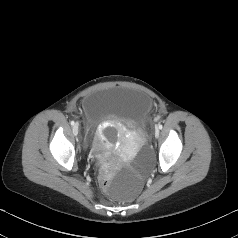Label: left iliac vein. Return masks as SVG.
Instances as JSON below:
<instances>
[{
	"mask_svg": "<svg viewBox=\"0 0 238 238\" xmlns=\"http://www.w3.org/2000/svg\"><path fill=\"white\" fill-rule=\"evenodd\" d=\"M160 131L158 128L155 129V137H159Z\"/></svg>",
	"mask_w": 238,
	"mask_h": 238,
	"instance_id": "left-iliac-vein-1",
	"label": "left iliac vein"
}]
</instances>
